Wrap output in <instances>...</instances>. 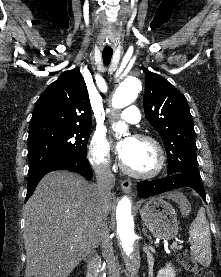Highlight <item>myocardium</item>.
Returning <instances> with one entry per match:
<instances>
[{
	"label": "myocardium",
	"instance_id": "1",
	"mask_svg": "<svg viewBox=\"0 0 221 277\" xmlns=\"http://www.w3.org/2000/svg\"><path fill=\"white\" fill-rule=\"evenodd\" d=\"M134 139L139 140V141L148 142L154 146V148L157 152V156H158L157 165H156L155 169L150 172L139 173V172H135V171L129 169L126 166V164L124 163V161L121 160L120 161L121 170L128 176L136 178V179H151V178L158 176L161 173V171L163 170L164 165H165V152L163 150L162 145L154 137L145 135V134H137V135H135Z\"/></svg>",
	"mask_w": 221,
	"mask_h": 277
}]
</instances>
